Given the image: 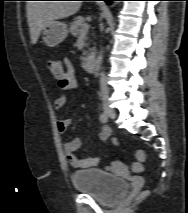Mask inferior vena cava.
<instances>
[{
  "instance_id": "602c4592",
  "label": "inferior vena cava",
  "mask_w": 188,
  "mask_h": 213,
  "mask_svg": "<svg viewBox=\"0 0 188 213\" xmlns=\"http://www.w3.org/2000/svg\"><path fill=\"white\" fill-rule=\"evenodd\" d=\"M100 84H101V89H102L103 93H107L108 87H107L106 78H105L104 73L101 74Z\"/></svg>"
}]
</instances>
